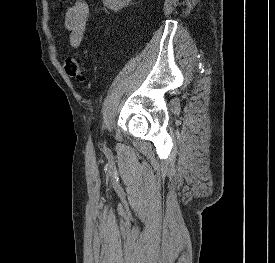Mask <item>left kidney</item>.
<instances>
[{
	"mask_svg": "<svg viewBox=\"0 0 275 263\" xmlns=\"http://www.w3.org/2000/svg\"><path fill=\"white\" fill-rule=\"evenodd\" d=\"M130 1L131 0H103V3L108 8L114 11H118L123 7L127 6Z\"/></svg>",
	"mask_w": 275,
	"mask_h": 263,
	"instance_id": "obj_1",
	"label": "left kidney"
}]
</instances>
